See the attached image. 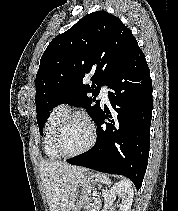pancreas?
<instances>
[{
  "label": "pancreas",
  "mask_w": 178,
  "mask_h": 211,
  "mask_svg": "<svg viewBox=\"0 0 178 211\" xmlns=\"http://www.w3.org/2000/svg\"><path fill=\"white\" fill-rule=\"evenodd\" d=\"M100 197L98 195H93L86 201L85 208L88 211H96L100 207Z\"/></svg>",
  "instance_id": "1"
}]
</instances>
